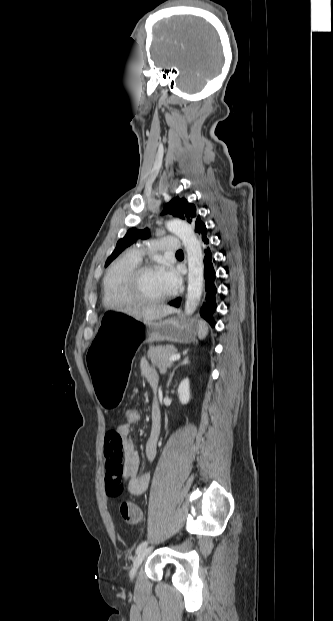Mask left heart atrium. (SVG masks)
I'll return each instance as SVG.
<instances>
[{
  "label": "left heart atrium",
  "instance_id": "39dd6f15",
  "mask_svg": "<svg viewBox=\"0 0 333 621\" xmlns=\"http://www.w3.org/2000/svg\"><path fill=\"white\" fill-rule=\"evenodd\" d=\"M159 274L165 282L169 292L175 290L180 284L177 272L170 266H164L159 270Z\"/></svg>",
  "mask_w": 333,
  "mask_h": 621
}]
</instances>
